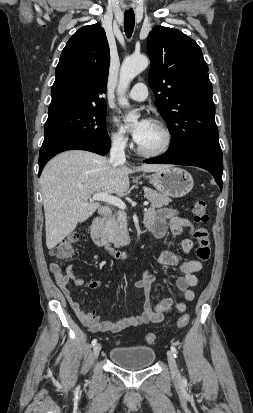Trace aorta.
Listing matches in <instances>:
<instances>
[{
	"label": "aorta",
	"instance_id": "762f6f07",
	"mask_svg": "<svg viewBox=\"0 0 253 413\" xmlns=\"http://www.w3.org/2000/svg\"><path fill=\"white\" fill-rule=\"evenodd\" d=\"M149 64V60L144 55H132L127 57L120 69V78L119 84L117 88L118 94V103L119 105L125 107L128 106V100L125 97V92L127 91L130 82L143 70L147 68ZM139 118V115L136 111H130L126 114L125 121L126 122H136Z\"/></svg>",
	"mask_w": 253,
	"mask_h": 413
}]
</instances>
